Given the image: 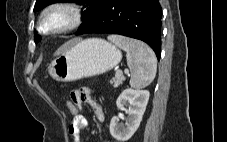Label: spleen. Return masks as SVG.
Listing matches in <instances>:
<instances>
[{"instance_id": "obj_1", "label": "spleen", "mask_w": 227, "mask_h": 142, "mask_svg": "<svg viewBox=\"0 0 227 142\" xmlns=\"http://www.w3.org/2000/svg\"><path fill=\"white\" fill-rule=\"evenodd\" d=\"M108 40L126 51L127 65L131 72L130 86L144 88L155 78L157 59L153 50L145 43L121 35H110Z\"/></svg>"}]
</instances>
